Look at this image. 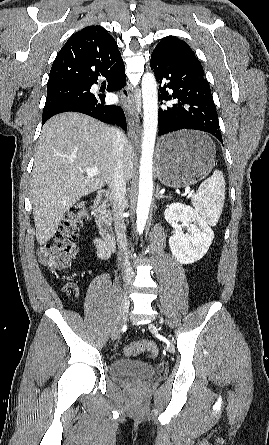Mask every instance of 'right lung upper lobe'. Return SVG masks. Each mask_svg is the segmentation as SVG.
<instances>
[{
  "instance_id": "1",
  "label": "right lung upper lobe",
  "mask_w": 269,
  "mask_h": 445,
  "mask_svg": "<svg viewBox=\"0 0 269 445\" xmlns=\"http://www.w3.org/2000/svg\"><path fill=\"white\" fill-rule=\"evenodd\" d=\"M122 60L116 41L101 26L73 34L56 56L47 88L86 84Z\"/></svg>"
}]
</instances>
